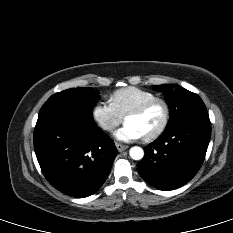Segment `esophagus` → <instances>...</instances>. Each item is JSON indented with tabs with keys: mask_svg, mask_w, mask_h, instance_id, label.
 Listing matches in <instances>:
<instances>
[{
	"mask_svg": "<svg viewBox=\"0 0 233 233\" xmlns=\"http://www.w3.org/2000/svg\"><path fill=\"white\" fill-rule=\"evenodd\" d=\"M115 145H116L117 150H118L119 152H123L124 150L128 149V146H127V145H123V144H121V143H116Z\"/></svg>",
	"mask_w": 233,
	"mask_h": 233,
	"instance_id": "1",
	"label": "esophagus"
}]
</instances>
